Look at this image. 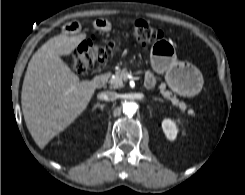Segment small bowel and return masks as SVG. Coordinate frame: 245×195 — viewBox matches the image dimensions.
<instances>
[{
  "instance_id": "obj_1",
  "label": "small bowel",
  "mask_w": 245,
  "mask_h": 195,
  "mask_svg": "<svg viewBox=\"0 0 245 195\" xmlns=\"http://www.w3.org/2000/svg\"><path fill=\"white\" fill-rule=\"evenodd\" d=\"M94 27L102 32H109L112 28L111 24L109 21L105 19H97L93 23ZM80 25L78 22H68L63 26V31L67 35H72L75 34L79 31ZM147 81L154 82V77L150 74L147 77Z\"/></svg>"
}]
</instances>
